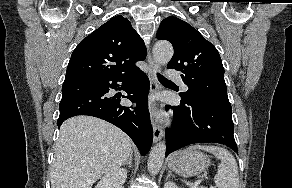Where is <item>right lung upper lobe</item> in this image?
<instances>
[{"label":"right lung upper lobe","mask_w":292,"mask_h":188,"mask_svg":"<svg viewBox=\"0 0 292 188\" xmlns=\"http://www.w3.org/2000/svg\"><path fill=\"white\" fill-rule=\"evenodd\" d=\"M146 57L144 41L123 16H115L85 37L69 61L67 78L125 76L139 70Z\"/></svg>","instance_id":"right-lung-upper-lobe-1"}]
</instances>
